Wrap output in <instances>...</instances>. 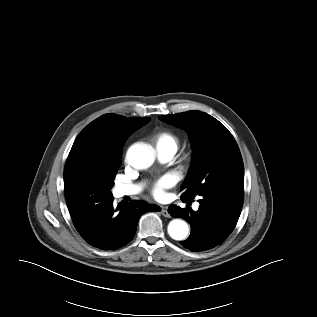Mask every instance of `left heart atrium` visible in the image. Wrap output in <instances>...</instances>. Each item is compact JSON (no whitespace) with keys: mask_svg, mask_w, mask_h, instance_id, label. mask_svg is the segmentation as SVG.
<instances>
[{"mask_svg":"<svg viewBox=\"0 0 317 317\" xmlns=\"http://www.w3.org/2000/svg\"><path fill=\"white\" fill-rule=\"evenodd\" d=\"M175 183L171 175H165L157 180L152 186V194L155 198L161 199L165 196L166 189L172 187Z\"/></svg>","mask_w":317,"mask_h":317,"instance_id":"obj_1","label":"left heart atrium"}]
</instances>
